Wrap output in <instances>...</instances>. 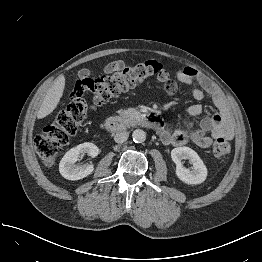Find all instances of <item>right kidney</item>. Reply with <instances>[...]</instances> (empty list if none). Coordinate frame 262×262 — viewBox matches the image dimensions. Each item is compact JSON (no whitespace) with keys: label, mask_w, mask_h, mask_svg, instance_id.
<instances>
[{"label":"right kidney","mask_w":262,"mask_h":262,"mask_svg":"<svg viewBox=\"0 0 262 262\" xmlns=\"http://www.w3.org/2000/svg\"><path fill=\"white\" fill-rule=\"evenodd\" d=\"M85 153L89 156L96 157L99 153V149L96 145L90 142L82 143L77 147L70 149L60 161V174L68 180H79L91 174L94 170L92 165L79 166L75 164L78 161L80 154Z\"/></svg>","instance_id":"right-kidney-1"}]
</instances>
